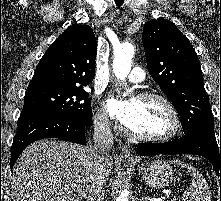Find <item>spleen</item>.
<instances>
[{
    "instance_id": "3e777b00",
    "label": "spleen",
    "mask_w": 221,
    "mask_h": 201,
    "mask_svg": "<svg viewBox=\"0 0 221 201\" xmlns=\"http://www.w3.org/2000/svg\"><path fill=\"white\" fill-rule=\"evenodd\" d=\"M171 163L186 168L192 178L190 186L182 194V201H212L208 183L195 167L180 160H172Z\"/></svg>"
}]
</instances>
